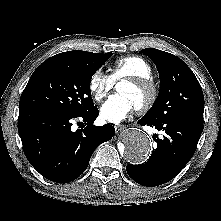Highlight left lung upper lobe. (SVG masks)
I'll use <instances>...</instances> for the list:
<instances>
[{
    "label": "left lung upper lobe",
    "instance_id": "5c2ea615",
    "mask_svg": "<svg viewBox=\"0 0 221 221\" xmlns=\"http://www.w3.org/2000/svg\"><path fill=\"white\" fill-rule=\"evenodd\" d=\"M156 64L160 91L144 118L160 122L172 116H182L203 123L204 96L191 69L177 56L154 48L141 50Z\"/></svg>",
    "mask_w": 221,
    "mask_h": 221
}]
</instances>
